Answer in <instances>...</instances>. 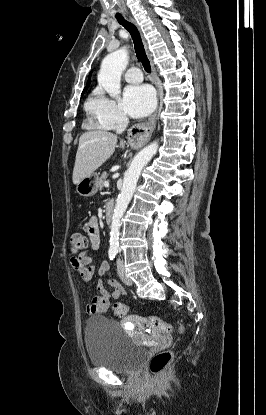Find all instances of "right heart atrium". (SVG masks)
Instances as JSON below:
<instances>
[{
	"mask_svg": "<svg viewBox=\"0 0 266 415\" xmlns=\"http://www.w3.org/2000/svg\"><path fill=\"white\" fill-rule=\"evenodd\" d=\"M86 109L94 124L103 129H112L127 121L122 108L100 89L94 91Z\"/></svg>",
	"mask_w": 266,
	"mask_h": 415,
	"instance_id": "right-heart-atrium-1",
	"label": "right heart atrium"
}]
</instances>
